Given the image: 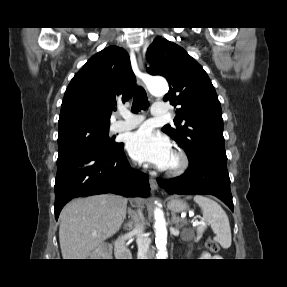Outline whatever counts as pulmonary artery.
Segmentation results:
<instances>
[{
	"mask_svg": "<svg viewBox=\"0 0 287 287\" xmlns=\"http://www.w3.org/2000/svg\"><path fill=\"white\" fill-rule=\"evenodd\" d=\"M151 114L154 116H159V117L165 116L167 114L166 105L162 103L153 104L152 109H151ZM119 115L122 119L117 120L113 124L112 129L114 132H122V131L133 129L137 127L138 125H140L144 120V117L141 115L131 114L123 110L119 112Z\"/></svg>",
	"mask_w": 287,
	"mask_h": 287,
	"instance_id": "pulmonary-artery-1",
	"label": "pulmonary artery"
}]
</instances>
